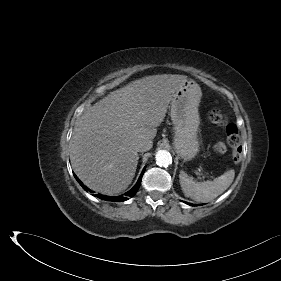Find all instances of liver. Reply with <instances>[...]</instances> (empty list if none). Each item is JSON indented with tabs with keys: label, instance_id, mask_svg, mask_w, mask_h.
Segmentation results:
<instances>
[{
	"label": "liver",
	"instance_id": "liver-1",
	"mask_svg": "<svg viewBox=\"0 0 281 281\" xmlns=\"http://www.w3.org/2000/svg\"><path fill=\"white\" fill-rule=\"evenodd\" d=\"M186 80L176 74L147 76L87 108L70 141V160L79 179L106 195L125 190L139 160L136 145L152 142L174 93Z\"/></svg>",
	"mask_w": 281,
	"mask_h": 281
}]
</instances>
